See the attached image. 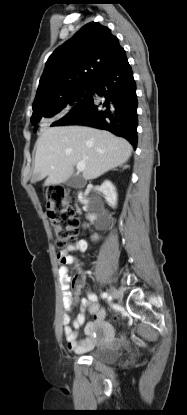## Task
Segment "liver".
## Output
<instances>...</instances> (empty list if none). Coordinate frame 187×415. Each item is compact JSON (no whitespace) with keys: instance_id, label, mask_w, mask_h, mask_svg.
Returning a JSON list of instances; mask_svg holds the SVG:
<instances>
[{"instance_id":"6515ba94","label":"liver","mask_w":187,"mask_h":415,"mask_svg":"<svg viewBox=\"0 0 187 415\" xmlns=\"http://www.w3.org/2000/svg\"><path fill=\"white\" fill-rule=\"evenodd\" d=\"M132 153L131 144L104 130L82 126L45 129L36 141L35 167L31 182L47 177L46 186L60 184L71 177L74 166L83 161L86 180L122 166Z\"/></svg>"}]
</instances>
